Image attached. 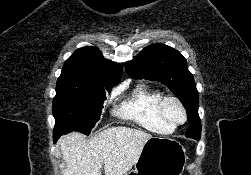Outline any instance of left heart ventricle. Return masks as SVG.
Returning a JSON list of instances; mask_svg holds the SVG:
<instances>
[{
  "label": "left heart ventricle",
  "mask_w": 251,
  "mask_h": 175,
  "mask_svg": "<svg viewBox=\"0 0 251 175\" xmlns=\"http://www.w3.org/2000/svg\"><path fill=\"white\" fill-rule=\"evenodd\" d=\"M164 113L171 125L180 124L184 120V112L175 101H168L165 104Z\"/></svg>",
  "instance_id": "b2bd125f"
}]
</instances>
